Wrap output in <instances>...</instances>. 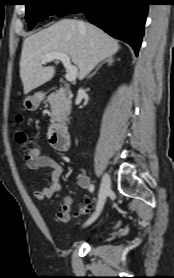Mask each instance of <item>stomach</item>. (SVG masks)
Segmentation results:
<instances>
[{"instance_id": "0dacf381", "label": "stomach", "mask_w": 174, "mask_h": 278, "mask_svg": "<svg viewBox=\"0 0 174 278\" xmlns=\"http://www.w3.org/2000/svg\"><path fill=\"white\" fill-rule=\"evenodd\" d=\"M24 105L29 110H35L40 105L39 96L37 94L34 96H28L24 101Z\"/></svg>"}]
</instances>
